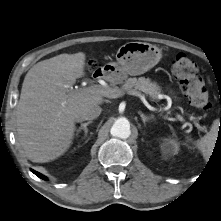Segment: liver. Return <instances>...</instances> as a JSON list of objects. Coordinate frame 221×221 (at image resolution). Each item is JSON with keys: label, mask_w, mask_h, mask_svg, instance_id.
I'll return each instance as SVG.
<instances>
[{"label": "liver", "mask_w": 221, "mask_h": 221, "mask_svg": "<svg viewBox=\"0 0 221 221\" xmlns=\"http://www.w3.org/2000/svg\"><path fill=\"white\" fill-rule=\"evenodd\" d=\"M85 53L60 54L35 64L26 74L16 108L18 141L25 156L45 163L63 155L72 143L75 122L100 94L73 90L85 75Z\"/></svg>", "instance_id": "6515ba94"}]
</instances>
